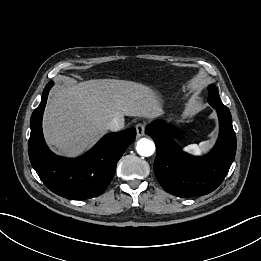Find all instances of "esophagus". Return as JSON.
I'll return each instance as SVG.
<instances>
[{
    "label": "esophagus",
    "mask_w": 261,
    "mask_h": 261,
    "mask_svg": "<svg viewBox=\"0 0 261 261\" xmlns=\"http://www.w3.org/2000/svg\"><path fill=\"white\" fill-rule=\"evenodd\" d=\"M136 133H137V137H141L145 134V125L142 123H138L136 126Z\"/></svg>",
    "instance_id": "obj_1"
}]
</instances>
